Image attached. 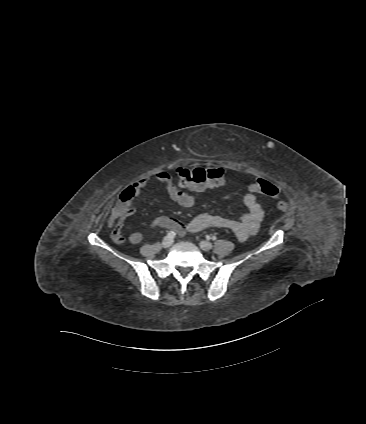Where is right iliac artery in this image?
Segmentation results:
<instances>
[{
    "instance_id": "obj_1",
    "label": "right iliac artery",
    "mask_w": 366,
    "mask_h": 424,
    "mask_svg": "<svg viewBox=\"0 0 366 424\" xmlns=\"http://www.w3.org/2000/svg\"><path fill=\"white\" fill-rule=\"evenodd\" d=\"M167 236L173 238L175 236V233L173 231H169Z\"/></svg>"
}]
</instances>
